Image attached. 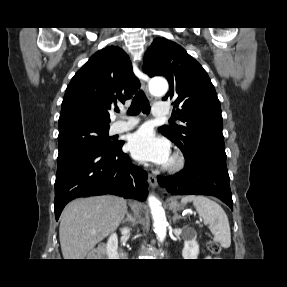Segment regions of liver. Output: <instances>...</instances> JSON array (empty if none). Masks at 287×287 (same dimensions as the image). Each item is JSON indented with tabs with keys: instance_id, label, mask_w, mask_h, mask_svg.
<instances>
[{
	"instance_id": "6515ba94",
	"label": "liver",
	"mask_w": 287,
	"mask_h": 287,
	"mask_svg": "<svg viewBox=\"0 0 287 287\" xmlns=\"http://www.w3.org/2000/svg\"><path fill=\"white\" fill-rule=\"evenodd\" d=\"M127 212L126 200L106 195L70 202L61 214L60 245L64 259H84L114 232Z\"/></svg>"
}]
</instances>
